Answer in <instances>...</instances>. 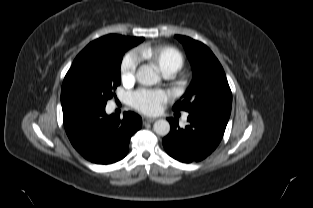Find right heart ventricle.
Here are the masks:
<instances>
[{
    "mask_svg": "<svg viewBox=\"0 0 313 208\" xmlns=\"http://www.w3.org/2000/svg\"><path fill=\"white\" fill-rule=\"evenodd\" d=\"M138 55L153 63L163 74L176 73L184 64L181 52L168 45H144Z\"/></svg>",
    "mask_w": 313,
    "mask_h": 208,
    "instance_id": "obj_1",
    "label": "right heart ventricle"
}]
</instances>
